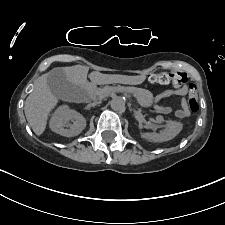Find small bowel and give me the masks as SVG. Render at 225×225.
<instances>
[{
  "label": "small bowel",
  "mask_w": 225,
  "mask_h": 225,
  "mask_svg": "<svg viewBox=\"0 0 225 225\" xmlns=\"http://www.w3.org/2000/svg\"><path fill=\"white\" fill-rule=\"evenodd\" d=\"M187 93H188L187 86H183V87L172 89V90H166L156 97V101L164 97L178 96L180 98L181 103H180V107L175 111V116L177 118H186L189 115V111L187 109V105L185 101V97ZM155 110L161 114H169L172 112L171 107L167 105H156Z\"/></svg>",
  "instance_id": "1"
}]
</instances>
